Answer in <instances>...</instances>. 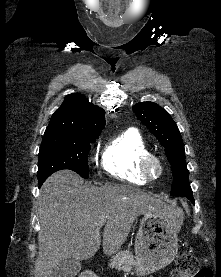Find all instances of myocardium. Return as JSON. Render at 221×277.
I'll return each instance as SVG.
<instances>
[{
	"instance_id": "1",
	"label": "myocardium",
	"mask_w": 221,
	"mask_h": 277,
	"mask_svg": "<svg viewBox=\"0 0 221 277\" xmlns=\"http://www.w3.org/2000/svg\"><path fill=\"white\" fill-rule=\"evenodd\" d=\"M156 165L158 168V173L157 175H153L151 172V166ZM139 168L142 173V175L148 180V181H156L164 173V164L161 158L153 153H148L145 155L140 163H139Z\"/></svg>"
}]
</instances>
